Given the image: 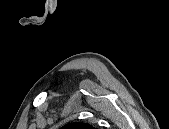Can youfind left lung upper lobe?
Returning a JSON list of instances; mask_svg holds the SVG:
<instances>
[{
    "mask_svg": "<svg viewBox=\"0 0 169 129\" xmlns=\"http://www.w3.org/2000/svg\"><path fill=\"white\" fill-rule=\"evenodd\" d=\"M64 129H93L89 124L85 123H70L63 127Z\"/></svg>",
    "mask_w": 169,
    "mask_h": 129,
    "instance_id": "5c2ea615",
    "label": "left lung upper lobe"
}]
</instances>
